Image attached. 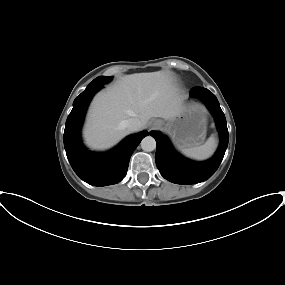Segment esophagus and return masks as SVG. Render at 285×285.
<instances>
[{
  "instance_id": "obj_1",
  "label": "esophagus",
  "mask_w": 285,
  "mask_h": 285,
  "mask_svg": "<svg viewBox=\"0 0 285 285\" xmlns=\"http://www.w3.org/2000/svg\"><path fill=\"white\" fill-rule=\"evenodd\" d=\"M162 126V122L160 120H153L151 123H150V128L151 129H158Z\"/></svg>"
}]
</instances>
